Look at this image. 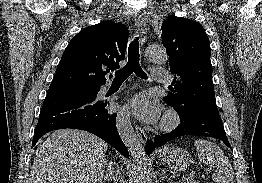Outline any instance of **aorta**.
Returning <instances> with one entry per match:
<instances>
[{
    "label": "aorta",
    "mask_w": 262,
    "mask_h": 183,
    "mask_svg": "<svg viewBox=\"0 0 262 183\" xmlns=\"http://www.w3.org/2000/svg\"><path fill=\"white\" fill-rule=\"evenodd\" d=\"M146 57L153 63H164L168 59L166 51L159 46L150 45L146 49ZM116 126L118 133L126 148L131 153L137 168V182L148 183L150 167L146 153L139 139L137 138L130 120V112L127 107H123L117 114Z\"/></svg>",
    "instance_id": "1"
}]
</instances>
